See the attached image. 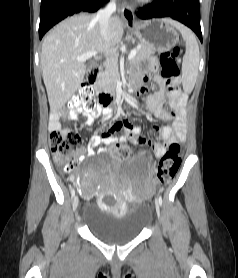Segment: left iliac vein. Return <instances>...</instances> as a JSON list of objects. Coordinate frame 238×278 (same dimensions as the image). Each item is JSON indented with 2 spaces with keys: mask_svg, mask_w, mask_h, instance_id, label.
<instances>
[{
  "mask_svg": "<svg viewBox=\"0 0 238 278\" xmlns=\"http://www.w3.org/2000/svg\"><path fill=\"white\" fill-rule=\"evenodd\" d=\"M155 207H156V213H157V215L159 216V213H160V207H159L158 202H156Z\"/></svg>",
  "mask_w": 238,
  "mask_h": 278,
  "instance_id": "left-iliac-vein-1",
  "label": "left iliac vein"
}]
</instances>
